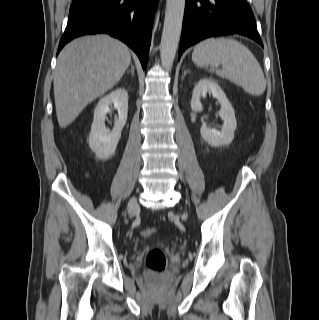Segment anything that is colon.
<instances>
[{
    "mask_svg": "<svg viewBox=\"0 0 319 320\" xmlns=\"http://www.w3.org/2000/svg\"><path fill=\"white\" fill-rule=\"evenodd\" d=\"M156 233L154 228H145L141 231L143 237H151ZM145 267L147 270L154 273H162L167 267V260L164 253L157 248H154L148 252L145 258ZM154 292L159 294L161 292L160 287H155Z\"/></svg>",
    "mask_w": 319,
    "mask_h": 320,
    "instance_id": "obj_1",
    "label": "colon"
}]
</instances>
